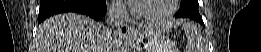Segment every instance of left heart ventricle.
Here are the masks:
<instances>
[{
	"mask_svg": "<svg viewBox=\"0 0 261 52\" xmlns=\"http://www.w3.org/2000/svg\"><path fill=\"white\" fill-rule=\"evenodd\" d=\"M169 4V0H147L137 1V10L143 15H157L164 12Z\"/></svg>",
	"mask_w": 261,
	"mask_h": 52,
	"instance_id": "1",
	"label": "left heart ventricle"
}]
</instances>
